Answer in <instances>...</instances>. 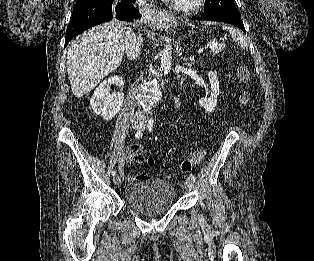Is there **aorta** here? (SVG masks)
I'll list each match as a JSON object with an SVG mask.
<instances>
[{"mask_svg": "<svg viewBox=\"0 0 314 261\" xmlns=\"http://www.w3.org/2000/svg\"><path fill=\"white\" fill-rule=\"evenodd\" d=\"M161 56V69L164 74H168L171 69L172 62V47L166 46L160 53Z\"/></svg>", "mask_w": 314, "mask_h": 261, "instance_id": "aorta-1", "label": "aorta"}]
</instances>
